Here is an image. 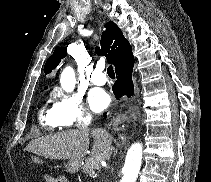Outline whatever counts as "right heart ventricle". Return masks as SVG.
I'll use <instances>...</instances> for the list:
<instances>
[{
	"instance_id": "right-heart-ventricle-1",
	"label": "right heart ventricle",
	"mask_w": 211,
	"mask_h": 182,
	"mask_svg": "<svg viewBox=\"0 0 211 182\" xmlns=\"http://www.w3.org/2000/svg\"><path fill=\"white\" fill-rule=\"evenodd\" d=\"M39 122L48 131H54L63 127L54 115L53 109H47L46 107L41 108L39 112Z\"/></svg>"
}]
</instances>
